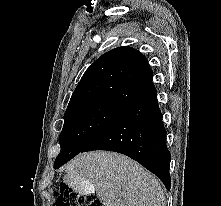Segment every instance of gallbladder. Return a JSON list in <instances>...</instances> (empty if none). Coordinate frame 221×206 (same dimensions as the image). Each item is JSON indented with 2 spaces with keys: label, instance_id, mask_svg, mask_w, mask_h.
Returning a JSON list of instances; mask_svg holds the SVG:
<instances>
[{
  "label": "gallbladder",
  "instance_id": "1",
  "mask_svg": "<svg viewBox=\"0 0 221 206\" xmlns=\"http://www.w3.org/2000/svg\"><path fill=\"white\" fill-rule=\"evenodd\" d=\"M65 181L69 189L73 190V194H92V185H89L88 181H68L67 179Z\"/></svg>",
  "mask_w": 221,
  "mask_h": 206
}]
</instances>
